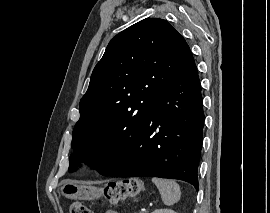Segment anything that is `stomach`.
Returning <instances> with one entry per match:
<instances>
[{"mask_svg": "<svg viewBox=\"0 0 270 213\" xmlns=\"http://www.w3.org/2000/svg\"><path fill=\"white\" fill-rule=\"evenodd\" d=\"M62 195L71 200H92L103 194V188L80 185L75 181H65L61 187Z\"/></svg>", "mask_w": 270, "mask_h": 213, "instance_id": "1", "label": "stomach"}]
</instances>
